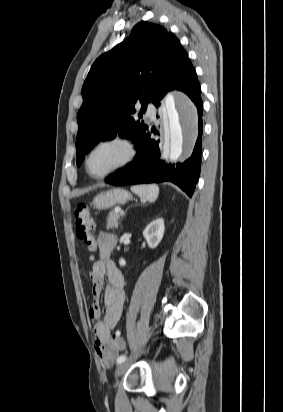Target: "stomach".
<instances>
[{
  "label": "stomach",
  "mask_w": 283,
  "mask_h": 412,
  "mask_svg": "<svg viewBox=\"0 0 283 412\" xmlns=\"http://www.w3.org/2000/svg\"><path fill=\"white\" fill-rule=\"evenodd\" d=\"M131 198L128 191L124 189H112L98 194L93 199V205L96 209H109L116 204H124Z\"/></svg>",
  "instance_id": "stomach-1"
}]
</instances>
